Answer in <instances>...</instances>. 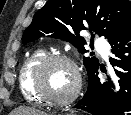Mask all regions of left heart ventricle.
<instances>
[{
    "instance_id": "b2bd125f",
    "label": "left heart ventricle",
    "mask_w": 131,
    "mask_h": 115,
    "mask_svg": "<svg viewBox=\"0 0 131 115\" xmlns=\"http://www.w3.org/2000/svg\"><path fill=\"white\" fill-rule=\"evenodd\" d=\"M74 85V72L63 62L49 65L43 75L44 90L53 98H66L72 92Z\"/></svg>"
}]
</instances>
